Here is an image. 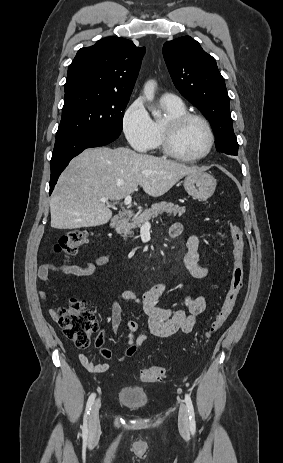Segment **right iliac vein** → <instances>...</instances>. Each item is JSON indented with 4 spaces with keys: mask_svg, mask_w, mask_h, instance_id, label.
I'll use <instances>...</instances> for the list:
<instances>
[{
    "mask_svg": "<svg viewBox=\"0 0 283 463\" xmlns=\"http://www.w3.org/2000/svg\"><path fill=\"white\" fill-rule=\"evenodd\" d=\"M101 406L100 399H97L90 411L89 416V438L96 439L100 434L99 409Z\"/></svg>",
    "mask_w": 283,
    "mask_h": 463,
    "instance_id": "63e3f726",
    "label": "right iliac vein"
}]
</instances>
